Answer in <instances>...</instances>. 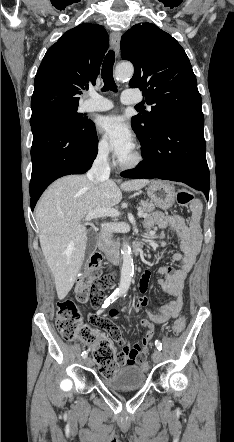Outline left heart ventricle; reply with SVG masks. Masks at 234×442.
Instances as JSON below:
<instances>
[{"label":"left heart ventricle","instance_id":"left-heart-ventricle-1","mask_svg":"<svg viewBox=\"0 0 234 442\" xmlns=\"http://www.w3.org/2000/svg\"><path fill=\"white\" fill-rule=\"evenodd\" d=\"M134 156V150H132L129 154H127L125 157L122 158V160L128 161L132 159Z\"/></svg>","mask_w":234,"mask_h":442}]
</instances>
